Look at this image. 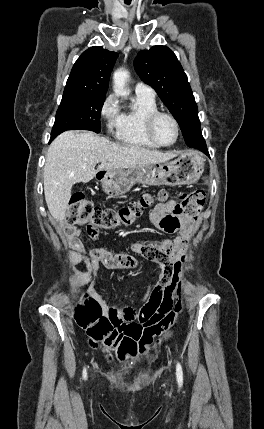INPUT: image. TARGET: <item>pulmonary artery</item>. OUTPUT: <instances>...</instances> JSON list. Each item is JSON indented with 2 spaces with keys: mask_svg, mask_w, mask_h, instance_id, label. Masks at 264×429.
I'll list each match as a JSON object with an SVG mask.
<instances>
[{
  "mask_svg": "<svg viewBox=\"0 0 264 429\" xmlns=\"http://www.w3.org/2000/svg\"><path fill=\"white\" fill-rule=\"evenodd\" d=\"M135 93L140 95L154 96V90L143 82H137L135 85Z\"/></svg>",
  "mask_w": 264,
  "mask_h": 429,
  "instance_id": "1",
  "label": "pulmonary artery"
}]
</instances>
